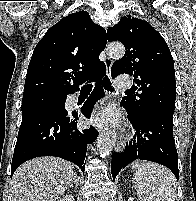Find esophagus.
Wrapping results in <instances>:
<instances>
[{
    "instance_id": "1",
    "label": "esophagus",
    "mask_w": 196,
    "mask_h": 201,
    "mask_svg": "<svg viewBox=\"0 0 196 201\" xmlns=\"http://www.w3.org/2000/svg\"><path fill=\"white\" fill-rule=\"evenodd\" d=\"M105 64H106V68H107V75H108V77H110L112 79V76H111V66L113 64V61L110 58H107L105 60ZM125 144H126L125 138L123 136L118 137L117 145L115 147V150L117 152H122L124 150V148H125Z\"/></svg>"
}]
</instances>
